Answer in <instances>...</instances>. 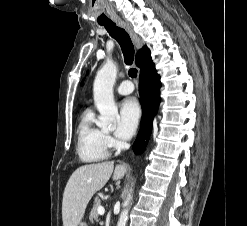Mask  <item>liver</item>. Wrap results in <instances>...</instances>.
<instances>
[{
  "label": "liver",
  "instance_id": "1",
  "mask_svg": "<svg viewBox=\"0 0 247 226\" xmlns=\"http://www.w3.org/2000/svg\"><path fill=\"white\" fill-rule=\"evenodd\" d=\"M114 171V172H113ZM125 165L113 162L87 164L77 168L69 178L63 194V226H78L93 195L102 189L113 173V180L123 178Z\"/></svg>",
  "mask_w": 247,
  "mask_h": 226
}]
</instances>
